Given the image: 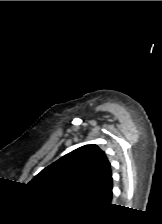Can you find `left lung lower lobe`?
Returning a JSON list of instances; mask_svg holds the SVG:
<instances>
[{
	"instance_id": "0a47b994",
	"label": "left lung lower lobe",
	"mask_w": 162,
	"mask_h": 224,
	"mask_svg": "<svg viewBox=\"0 0 162 224\" xmlns=\"http://www.w3.org/2000/svg\"><path fill=\"white\" fill-rule=\"evenodd\" d=\"M112 176L94 193L87 197V200L110 205L112 199Z\"/></svg>"
}]
</instances>
